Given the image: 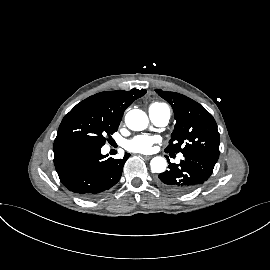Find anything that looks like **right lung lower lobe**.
Wrapping results in <instances>:
<instances>
[{
    "label": "right lung lower lobe",
    "instance_id": "1",
    "mask_svg": "<svg viewBox=\"0 0 270 270\" xmlns=\"http://www.w3.org/2000/svg\"><path fill=\"white\" fill-rule=\"evenodd\" d=\"M101 147L81 142L54 143V164L60 181L71 192L93 198L114 186L120 179L130 154L122 159H106Z\"/></svg>",
    "mask_w": 270,
    "mask_h": 270
}]
</instances>
